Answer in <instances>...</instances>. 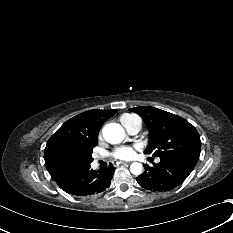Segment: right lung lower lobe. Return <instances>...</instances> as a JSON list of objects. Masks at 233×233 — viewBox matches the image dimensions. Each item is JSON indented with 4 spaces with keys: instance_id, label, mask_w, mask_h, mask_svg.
Masks as SVG:
<instances>
[{
    "instance_id": "1",
    "label": "right lung lower lobe",
    "mask_w": 233,
    "mask_h": 233,
    "mask_svg": "<svg viewBox=\"0 0 233 233\" xmlns=\"http://www.w3.org/2000/svg\"><path fill=\"white\" fill-rule=\"evenodd\" d=\"M115 168L110 164L104 170L89 167L77 171L71 180L60 186L65 192L75 196H92L110 186Z\"/></svg>"
}]
</instances>
